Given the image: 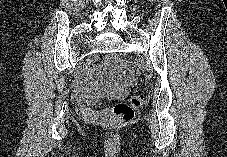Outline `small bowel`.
<instances>
[{
    "instance_id": "c3829d8e",
    "label": "small bowel",
    "mask_w": 227,
    "mask_h": 157,
    "mask_svg": "<svg viewBox=\"0 0 227 157\" xmlns=\"http://www.w3.org/2000/svg\"><path fill=\"white\" fill-rule=\"evenodd\" d=\"M115 57L110 56L104 63V70L96 72L90 66L83 70L81 79L74 84L77 98L89 104L97 97H124L135 81V70L126 65L114 66Z\"/></svg>"
}]
</instances>
